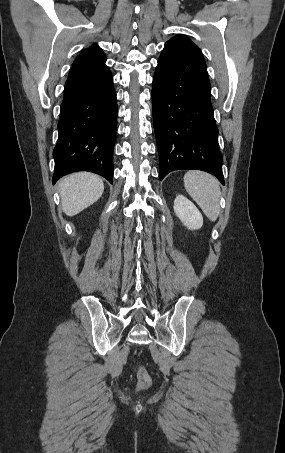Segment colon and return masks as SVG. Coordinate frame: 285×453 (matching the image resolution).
<instances>
[{
  "label": "colon",
  "instance_id": "5ec220e1",
  "mask_svg": "<svg viewBox=\"0 0 285 453\" xmlns=\"http://www.w3.org/2000/svg\"><path fill=\"white\" fill-rule=\"evenodd\" d=\"M137 377H138V388L139 389H146L151 384V378L147 372V370L139 366L137 369Z\"/></svg>",
  "mask_w": 285,
  "mask_h": 453
}]
</instances>
